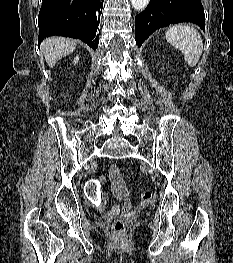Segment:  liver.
Segmentation results:
<instances>
[{"label": "liver", "instance_id": "liver-1", "mask_svg": "<svg viewBox=\"0 0 233 263\" xmlns=\"http://www.w3.org/2000/svg\"><path fill=\"white\" fill-rule=\"evenodd\" d=\"M41 46L46 63L53 68L60 59L75 50L76 41L65 37H49Z\"/></svg>", "mask_w": 233, "mask_h": 263}]
</instances>
